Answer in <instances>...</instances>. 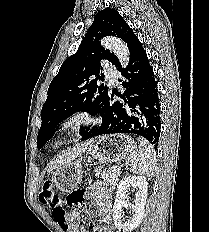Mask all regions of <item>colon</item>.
I'll return each mask as SVG.
<instances>
[{"mask_svg":"<svg viewBox=\"0 0 209 232\" xmlns=\"http://www.w3.org/2000/svg\"><path fill=\"white\" fill-rule=\"evenodd\" d=\"M40 201L51 209L53 219L63 228L67 227L66 212L61 198L55 191L54 183L46 180L40 192ZM68 202V199H67Z\"/></svg>","mask_w":209,"mask_h":232,"instance_id":"1","label":"colon"}]
</instances>
